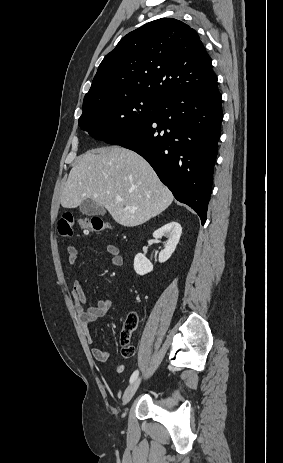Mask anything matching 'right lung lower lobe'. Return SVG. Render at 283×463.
<instances>
[{
	"label": "right lung lower lobe",
	"mask_w": 283,
	"mask_h": 463,
	"mask_svg": "<svg viewBox=\"0 0 283 463\" xmlns=\"http://www.w3.org/2000/svg\"><path fill=\"white\" fill-rule=\"evenodd\" d=\"M217 80L158 101L142 123L105 141L135 151L174 197L206 221L223 119Z\"/></svg>",
	"instance_id": "98d812e1"
}]
</instances>
